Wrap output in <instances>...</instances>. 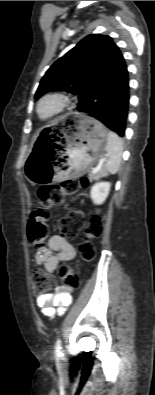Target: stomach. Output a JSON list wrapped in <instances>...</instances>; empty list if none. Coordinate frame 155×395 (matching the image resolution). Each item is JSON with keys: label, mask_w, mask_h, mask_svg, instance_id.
I'll return each instance as SVG.
<instances>
[{"label": "stomach", "mask_w": 155, "mask_h": 395, "mask_svg": "<svg viewBox=\"0 0 155 395\" xmlns=\"http://www.w3.org/2000/svg\"><path fill=\"white\" fill-rule=\"evenodd\" d=\"M66 119L68 124L51 148L38 144L30 152L24 166L29 182L43 184L80 175L101 156L107 142L106 128L83 113H71Z\"/></svg>", "instance_id": "0dacf381"}]
</instances>
